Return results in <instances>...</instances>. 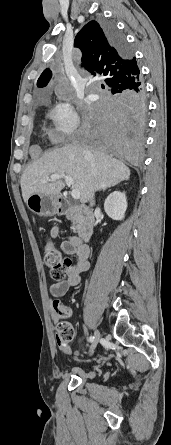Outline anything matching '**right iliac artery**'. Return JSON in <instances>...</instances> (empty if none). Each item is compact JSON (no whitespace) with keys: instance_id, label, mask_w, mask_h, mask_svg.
<instances>
[{"instance_id":"82829eb1","label":"right iliac artery","mask_w":171,"mask_h":445,"mask_svg":"<svg viewBox=\"0 0 171 445\" xmlns=\"http://www.w3.org/2000/svg\"><path fill=\"white\" fill-rule=\"evenodd\" d=\"M93 340H94V336H90V337H89V341L92 343Z\"/></svg>"}]
</instances>
